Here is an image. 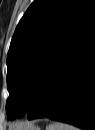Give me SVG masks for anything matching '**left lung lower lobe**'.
<instances>
[{
  "label": "left lung lower lobe",
  "instance_id": "0a47b994",
  "mask_svg": "<svg viewBox=\"0 0 95 130\" xmlns=\"http://www.w3.org/2000/svg\"><path fill=\"white\" fill-rule=\"evenodd\" d=\"M50 118L95 129V14L85 22L49 79L28 119Z\"/></svg>",
  "mask_w": 95,
  "mask_h": 130
}]
</instances>
